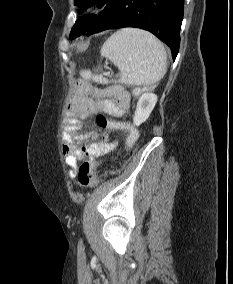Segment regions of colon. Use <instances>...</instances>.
I'll list each match as a JSON object with an SVG mask.
<instances>
[{"mask_svg": "<svg viewBox=\"0 0 233 284\" xmlns=\"http://www.w3.org/2000/svg\"><path fill=\"white\" fill-rule=\"evenodd\" d=\"M82 75L85 78H89L90 74L87 71H84ZM156 84H152L148 87L152 88L155 87ZM147 89V88H146ZM145 88H136L134 90V95L139 96L143 91L146 90ZM97 125L102 129H126L128 131V135L126 138V145L127 147H132L137 139H138V130L132 125H125L117 122H110L108 119L102 114L99 113L96 117ZM78 183L80 187L90 189L95 187L98 184V177L95 172V165L93 162L85 161L83 162L78 170Z\"/></svg>", "mask_w": 233, "mask_h": 284, "instance_id": "colon-1", "label": "colon"}]
</instances>
